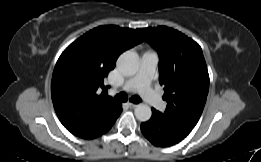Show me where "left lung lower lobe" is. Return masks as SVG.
<instances>
[{"label":"left lung lower lobe","mask_w":261,"mask_h":162,"mask_svg":"<svg viewBox=\"0 0 261 162\" xmlns=\"http://www.w3.org/2000/svg\"><path fill=\"white\" fill-rule=\"evenodd\" d=\"M193 129L187 123L168 117L152 108V117L141 124L143 135L157 147H167L182 141Z\"/></svg>","instance_id":"1"}]
</instances>
